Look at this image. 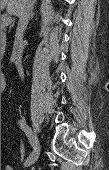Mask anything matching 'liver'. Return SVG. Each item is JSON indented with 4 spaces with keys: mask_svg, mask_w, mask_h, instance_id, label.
I'll return each mask as SVG.
<instances>
[{
    "mask_svg": "<svg viewBox=\"0 0 109 170\" xmlns=\"http://www.w3.org/2000/svg\"><path fill=\"white\" fill-rule=\"evenodd\" d=\"M22 0H1V7L5 8L7 6V11L19 16L21 11Z\"/></svg>",
    "mask_w": 109,
    "mask_h": 170,
    "instance_id": "liver-1",
    "label": "liver"
}]
</instances>
